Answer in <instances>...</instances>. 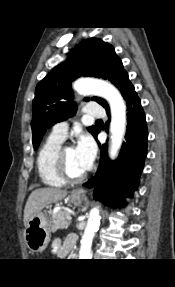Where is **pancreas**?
I'll use <instances>...</instances> for the list:
<instances>
[{"instance_id":"pancreas-1","label":"pancreas","mask_w":175,"mask_h":287,"mask_svg":"<svg viewBox=\"0 0 175 287\" xmlns=\"http://www.w3.org/2000/svg\"><path fill=\"white\" fill-rule=\"evenodd\" d=\"M69 215V213L65 210H61L54 214L51 218L52 228L51 230L53 232L59 230V229H66L68 228L70 224V220H68L66 217Z\"/></svg>"}]
</instances>
